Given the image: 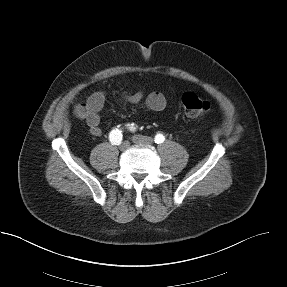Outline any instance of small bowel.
Instances as JSON below:
<instances>
[{"mask_svg":"<svg viewBox=\"0 0 287 287\" xmlns=\"http://www.w3.org/2000/svg\"><path fill=\"white\" fill-rule=\"evenodd\" d=\"M105 100L106 95L103 92L98 91L93 93L86 103L87 113L84 118L90 133L94 136H101L103 133L100 126V113L104 107ZM121 101L154 112L162 111L166 106V99L159 92H152L149 94H144L142 91L123 93L121 95Z\"/></svg>","mask_w":287,"mask_h":287,"instance_id":"c3829d8e","label":"small bowel"}]
</instances>
